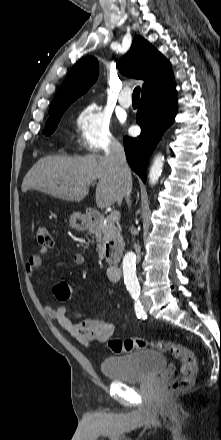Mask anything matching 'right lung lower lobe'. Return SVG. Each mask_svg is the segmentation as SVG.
<instances>
[{"label": "right lung lower lobe", "mask_w": 221, "mask_h": 440, "mask_svg": "<svg viewBox=\"0 0 221 440\" xmlns=\"http://www.w3.org/2000/svg\"><path fill=\"white\" fill-rule=\"evenodd\" d=\"M141 101L136 115L141 134L137 138L124 136L123 143L129 165L146 182L148 160L177 113L175 82L142 95Z\"/></svg>", "instance_id": "98d812e1"}]
</instances>
